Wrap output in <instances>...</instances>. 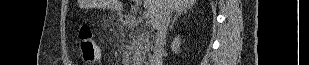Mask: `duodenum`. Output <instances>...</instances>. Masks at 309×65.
Returning <instances> with one entry per match:
<instances>
[{
  "label": "duodenum",
  "instance_id": "obj_1",
  "mask_svg": "<svg viewBox=\"0 0 309 65\" xmlns=\"http://www.w3.org/2000/svg\"><path fill=\"white\" fill-rule=\"evenodd\" d=\"M123 24L130 29H135L138 26V21L134 17L125 16L123 18Z\"/></svg>",
  "mask_w": 309,
  "mask_h": 65
}]
</instances>
